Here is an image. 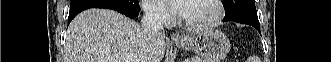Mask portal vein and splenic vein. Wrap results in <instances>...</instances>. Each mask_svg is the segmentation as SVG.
<instances>
[{"label": "portal vein and splenic vein", "mask_w": 331, "mask_h": 62, "mask_svg": "<svg viewBox=\"0 0 331 62\" xmlns=\"http://www.w3.org/2000/svg\"><path fill=\"white\" fill-rule=\"evenodd\" d=\"M108 59L110 62H140L134 54H116L108 56Z\"/></svg>", "instance_id": "obj_1"}]
</instances>
